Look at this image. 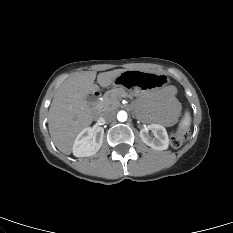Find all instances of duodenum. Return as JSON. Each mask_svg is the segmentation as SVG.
<instances>
[{
  "label": "duodenum",
  "mask_w": 233,
  "mask_h": 233,
  "mask_svg": "<svg viewBox=\"0 0 233 233\" xmlns=\"http://www.w3.org/2000/svg\"><path fill=\"white\" fill-rule=\"evenodd\" d=\"M101 93L99 91H93L90 95V100L93 104V115L98 116L99 114V100Z\"/></svg>",
  "instance_id": "duodenum-1"
}]
</instances>
